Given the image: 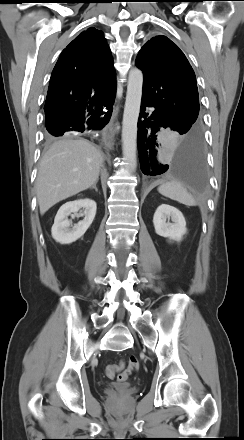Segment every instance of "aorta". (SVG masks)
Wrapping results in <instances>:
<instances>
[{
	"mask_svg": "<svg viewBox=\"0 0 244 440\" xmlns=\"http://www.w3.org/2000/svg\"><path fill=\"white\" fill-rule=\"evenodd\" d=\"M142 86L143 74L141 70L137 68L131 69L128 76L127 94L122 121L123 155L130 171H135L137 166L136 139Z\"/></svg>",
	"mask_w": 244,
	"mask_h": 440,
	"instance_id": "1",
	"label": "aorta"
}]
</instances>
